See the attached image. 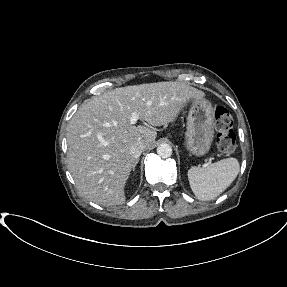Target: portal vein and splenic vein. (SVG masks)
<instances>
[{"instance_id": "18ae733b", "label": "portal vein and splenic vein", "mask_w": 287, "mask_h": 287, "mask_svg": "<svg viewBox=\"0 0 287 287\" xmlns=\"http://www.w3.org/2000/svg\"><path fill=\"white\" fill-rule=\"evenodd\" d=\"M137 120H138V116L136 114H133L131 116L130 122H131V124H135L137 122Z\"/></svg>"}]
</instances>
